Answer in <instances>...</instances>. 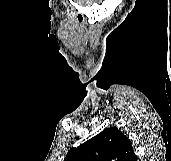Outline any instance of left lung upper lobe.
<instances>
[{"mask_svg": "<svg viewBox=\"0 0 171 161\" xmlns=\"http://www.w3.org/2000/svg\"><path fill=\"white\" fill-rule=\"evenodd\" d=\"M135 156L131 141L110 127L68 152L64 161H131Z\"/></svg>", "mask_w": 171, "mask_h": 161, "instance_id": "5c2ea615", "label": "left lung upper lobe"}]
</instances>
